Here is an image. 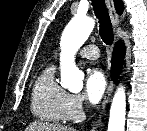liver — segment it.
<instances>
[{
	"mask_svg": "<svg viewBox=\"0 0 147 131\" xmlns=\"http://www.w3.org/2000/svg\"><path fill=\"white\" fill-rule=\"evenodd\" d=\"M25 131H76L73 128L48 122H33Z\"/></svg>",
	"mask_w": 147,
	"mask_h": 131,
	"instance_id": "6515ba94",
	"label": "liver"
}]
</instances>
